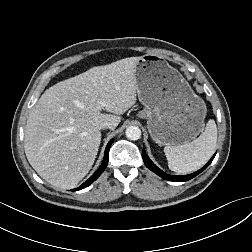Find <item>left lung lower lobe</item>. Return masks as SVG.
<instances>
[{"label": "left lung lower lobe", "instance_id": "obj_1", "mask_svg": "<svg viewBox=\"0 0 252 252\" xmlns=\"http://www.w3.org/2000/svg\"><path fill=\"white\" fill-rule=\"evenodd\" d=\"M216 154H214V156L209 160V162L200 170L189 174V175H184V176H174V175H168L166 173H164L162 170H160L147 156V154L145 153V150L143 149L142 151V157L144 160L145 165L147 166V168H149L151 171H153L154 173H156L157 175H159L160 177H162L163 179L169 180V181H174V182H183V181H188L192 178H194L195 176H197L199 173H201L203 170H205L208 165H210V163L212 162V160L214 159Z\"/></svg>", "mask_w": 252, "mask_h": 252}]
</instances>
